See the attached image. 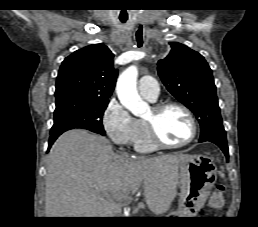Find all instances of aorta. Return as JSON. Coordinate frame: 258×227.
<instances>
[{
  "instance_id": "762f6f07",
  "label": "aorta",
  "mask_w": 258,
  "mask_h": 227,
  "mask_svg": "<svg viewBox=\"0 0 258 227\" xmlns=\"http://www.w3.org/2000/svg\"><path fill=\"white\" fill-rule=\"evenodd\" d=\"M137 77V67L134 65L128 67L120 74L116 91L121 104L133 115L141 116L147 109V103L138 94Z\"/></svg>"
}]
</instances>
